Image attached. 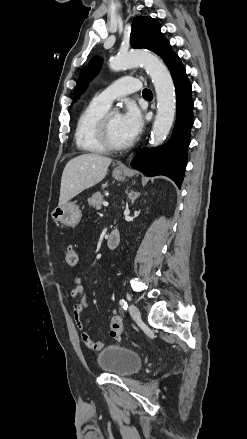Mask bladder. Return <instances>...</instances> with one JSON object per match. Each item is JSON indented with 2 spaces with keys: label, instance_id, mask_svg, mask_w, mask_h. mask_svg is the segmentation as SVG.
<instances>
[{
  "label": "bladder",
  "instance_id": "obj_1",
  "mask_svg": "<svg viewBox=\"0 0 247 439\" xmlns=\"http://www.w3.org/2000/svg\"><path fill=\"white\" fill-rule=\"evenodd\" d=\"M98 366L104 372L120 377H128L137 373L142 366L139 353L129 348L110 345L98 355Z\"/></svg>",
  "mask_w": 247,
  "mask_h": 439
}]
</instances>
